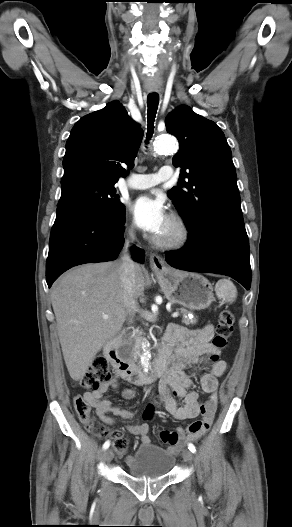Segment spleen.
Wrapping results in <instances>:
<instances>
[{
	"label": "spleen",
	"mask_w": 292,
	"mask_h": 527,
	"mask_svg": "<svg viewBox=\"0 0 292 527\" xmlns=\"http://www.w3.org/2000/svg\"><path fill=\"white\" fill-rule=\"evenodd\" d=\"M215 292L219 299L229 303L237 297V289L229 279H220L215 285Z\"/></svg>",
	"instance_id": "1"
}]
</instances>
